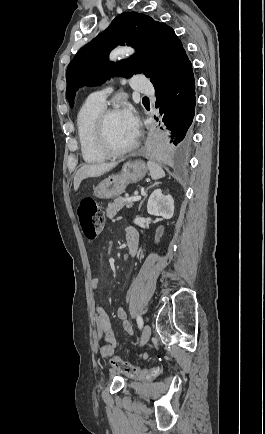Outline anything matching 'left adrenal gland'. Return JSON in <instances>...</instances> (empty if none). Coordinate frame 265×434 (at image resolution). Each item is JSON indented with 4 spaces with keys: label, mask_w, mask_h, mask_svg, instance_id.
Returning <instances> with one entry per match:
<instances>
[{
    "label": "left adrenal gland",
    "mask_w": 265,
    "mask_h": 434,
    "mask_svg": "<svg viewBox=\"0 0 265 434\" xmlns=\"http://www.w3.org/2000/svg\"><path fill=\"white\" fill-rule=\"evenodd\" d=\"M158 184H160V182H154V184H152V186H149V188H154V186H158ZM149 188H146V190H145V196H144L143 200H141V202L139 204V208H138L139 212L141 210V206H142L144 200H146V198H147V192H148Z\"/></svg>",
    "instance_id": "obj_1"
}]
</instances>
